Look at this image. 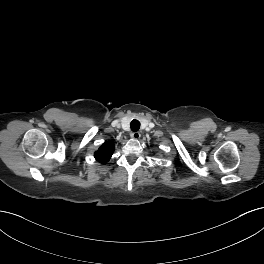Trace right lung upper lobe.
I'll use <instances>...</instances> for the list:
<instances>
[{"label":"right lung upper lobe","mask_w":264,"mask_h":264,"mask_svg":"<svg viewBox=\"0 0 264 264\" xmlns=\"http://www.w3.org/2000/svg\"><path fill=\"white\" fill-rule=\"evenodd\" d=\"M114 151L112 142H105L95 153V158L102 164H106L110 160Z\"/></svg>","instance_id":"obj_1"}]
</instances>
